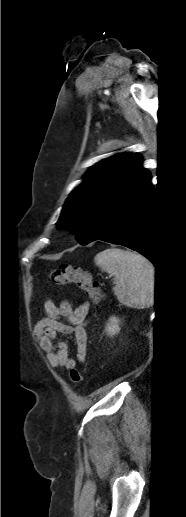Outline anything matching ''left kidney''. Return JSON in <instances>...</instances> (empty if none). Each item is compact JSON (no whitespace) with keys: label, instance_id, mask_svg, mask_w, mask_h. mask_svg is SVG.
Listing matches in <instances>:
<instances>
[{"label":"left kidney","instance_id":"left-kidney-1","mask_svg":"<svg viewBox=\"0 0 186 517\" xmlns=\"http://www.w3.org/2000/svg\"><path fill=\"white\" fill-rule=\"evenodd\" d=\"M120 320L117 317H111L107 323L106 331L109 336L118 334L120 331L119 327Z\"/></svg>","mask_w":186,"mask_h":517}]
</instances>
